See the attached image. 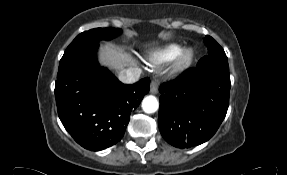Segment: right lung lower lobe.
Listing matches in <instances>:
<instances>
[{
	"label": "right lung lower lobe",
	"mask_w": 287,
	"mask_h": 175,
	"mask_svg": "<svg viewBox=\"0 0 287 175\" xmlns=\"http://www.w3.org/2000/svg\"><path fill=\"white\" fill-rule=\"evenodd\" d=\"M92 44L62 58L55 83L59 118L74 140L92 151L124 135L133 112L149 92V78L128 85L100 67Z\"/></svg>",
	"instance_id": "obj_1"
}]
</instances>
